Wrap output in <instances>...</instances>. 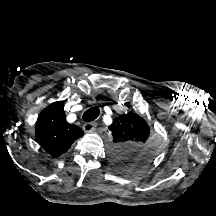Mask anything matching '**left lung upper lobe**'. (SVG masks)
Segmentation results:
<instances>
[{
	"instance_id": "5c2ea615",
	"label": "left lung upper lobe",
	"mask_w": 216,
	"mask_h": 216,
	"mask_svg": "<svg viewBox=\"0 0 216 216\" xmlns=\"http://www.w3.org/2000/svg\"><path fill=\"white\" fill-rule=\"evenodd\" d=\"M109 129L114 141L110 158L120 172L135 173L154 159L158 135L140 115L131 111L119 115Z\"/></svg>"
}]
</instances>
